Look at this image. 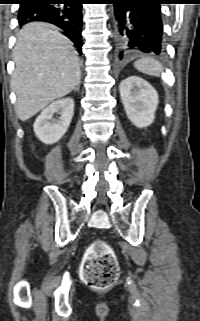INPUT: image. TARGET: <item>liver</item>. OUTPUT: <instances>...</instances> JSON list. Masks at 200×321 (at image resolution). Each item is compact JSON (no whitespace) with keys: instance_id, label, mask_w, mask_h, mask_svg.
<instances>
[{"instance_id":"obj_1","label":"liver","mask_w":200,"mask_h":321,"mask_svg":"<svg viewBox=\"0 0 200 321\" xmlns=\"http://www.w3.org/2000/svg\"><path fill=\"white\" fill-rule=\"evenodd\" d=\"M11 87L16 113L26 121L80 83L79 57L73 43L54 26L34 22L17 34Z\"/></svg>"}]
</instances>
